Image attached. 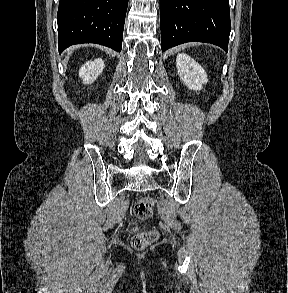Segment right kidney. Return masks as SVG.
I'll list each match as a JSON object with an SVG mask.
<instances>
[{"instance_id": "right-kidney-1", "label": "right kidney", "mask_w": 288, "mask_h": 293, "mask_svg": "<svg viewBox=\"0 0 288 293\" xmlns=\"http://www.w3.org/2000/svg\"><path fill=\"white\" fill-rule=\"evenodd\" d=\"M104 67V61L100 58L88 61L80 68L79 76L83 79L84 84H91L102 73Z\"/></svg>"}]
</instances>
